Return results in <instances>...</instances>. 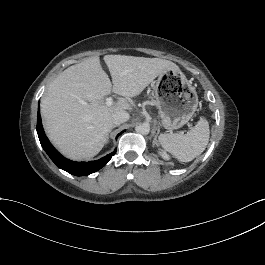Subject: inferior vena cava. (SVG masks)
<instances>
[{
	"label": "inferior vena cava",
	"mask_w": 265,
	"mask_h": 265,
	"mask_svg": "<svg viewBox=\"0 0 265 265\" xmlns=\"http://www.w3.org/2000/svg\"><path fill=\"white\" fill-rule=\"evenodd\" d=\"M129 120V113L124 110L116 111L112 115L114 125H120Z\"/></svg>",
	"instance_id": "602c4592"
}]
</instances>
